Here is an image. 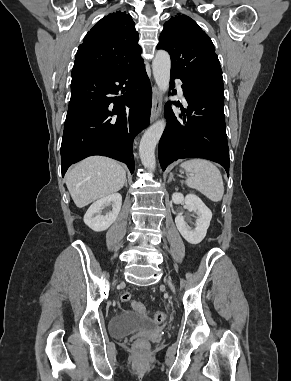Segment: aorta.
<instances>
[{
    "instance_id": "1",
    "label": "aorta",
    "mask_w": 291,
    "mask_h": 381,
    "mask_svg": "<svg viewBox=\"0 0 291 381\" xmlns=\"http://www.w3.org/2000/svg\"><path fill=\"white\" fill-rule=\"evenodd\" d=\"M171 61L169 54L164 50H158L152 62L155 82L162 92H167L170 83ZM166 122L164 119L151 125L142 136L139 146V155L142 164L150 171L155 170V148L159 142Z\"/></svg>"
}]
</instances>
